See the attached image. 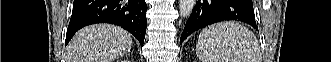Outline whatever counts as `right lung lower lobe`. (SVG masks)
Wrapping results in <instances>:
<instances>
[{
	"label": "right lung lower lobe",
	"instance_id": "obj_1",
	"mask_svg": "<svg viewBox=\"0 0 331 62\" xmlns=\"http://www.w3.org/2000/svg\"><path fill=\"white\" fill-rule=\"evenodd\" d=\"M146 11L145 0H74L66 45L84 26L111 23L132 33L143 46L147 26Z\"/></svg>",
	"mask_w": 331,
	"mask_h": 62
}]
</instances>
